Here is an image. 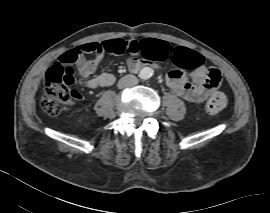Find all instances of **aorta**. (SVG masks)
Returning <instances> with one entry per match:
<instances>
[{
	"label": "aorta",
	"instance_id": "1",
	"mask_svg": "<svg viewBox=\"0 0 270 213\" xmlns=\"http://www.w3.org/2000/svg\"><path fill=\"white\" fill-rule=\"evenodd\" d=\"M151 72H152V70H151L150 68H144V69L142 70V74H143V76H145V77H148V76L151 74Z\"/></svg>",
	"mask_w": 270,
	"mask_h": 213
}]
</instances>
